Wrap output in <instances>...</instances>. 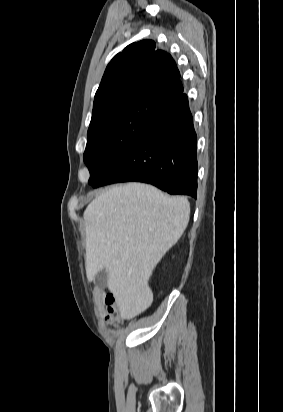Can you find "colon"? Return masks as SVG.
I'll return each mask as SVG.
<instances>
[{"label":"colon","instance_id":"obj_1","mask_svg":"<svg viewBox=\"0 0 283 412\" xmlns=\"http://www.w3.org/2000/svg\"><path fill=\"white\" fill-rule=\"evenodd\" d=\"M105 304L107 307L105 320L111 326H118L125 319V314L118 301V299L113 295H108L105 299Z\"/></svg>","mask_w":283,"mask_h":412}]
</instances>
